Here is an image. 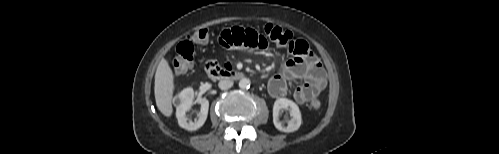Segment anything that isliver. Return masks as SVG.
Instances as JSON below:
<instances>
[{
  "instance_id": "1",
  "label": "liver",
  "mask_w": 499,
  "mask_h": 154,
  "mask_svg": "<svg viewBox=\"0 0 499 154\" xmlns=\"http://www.w3.org/2000/svg\"><path fill=\"white\" fill-rule=\"evenodd\" d=\"M174 91V75L167 60L162 59L155 74L154 94L159 111L166 117L173 113L172 97Z\"/></svg>"
}]
</instances>
